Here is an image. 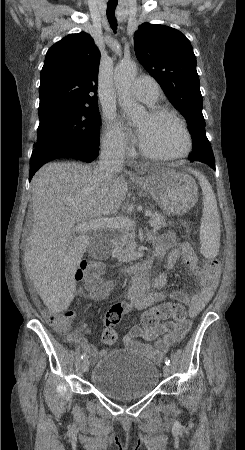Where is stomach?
<instances>
[{
	"label": "stomach",
	"instance_id": "obj_1",
	"mask_svg": "<svg viewBox=\"0 0 245 450\" xmlns=\"http://www.w3.org/2000/svg\"><path fill=\"white\" fill-rule=\"evenodd\" d=\"M138 185L149 193L169 216L183 215L198 200L196 181L187 173L169 168L152 171Z\"/></svg>",
	"mask_w": 245,
	"mask_h": 450
}]
</instances>
